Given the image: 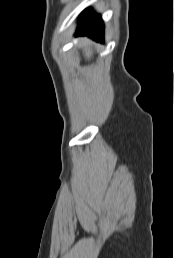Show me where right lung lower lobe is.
<instances>
[{"instance_id": "98d812e1", "label": "right lung lower lobe", "mask_w": 174, "mask_h": 258, "mask_svg": "<svg viewBox=\"0 0 174 258\" xmlns=\"http://www.w3.org/2000/svg\"><path fill=\"white\" fill-rule=\"evenodd\" d=\"M104 26L101 16L91 9L84 10L80 15V25L75 36L87 35L96 41L103 42Z\"/></svg>"}]
</instances>
